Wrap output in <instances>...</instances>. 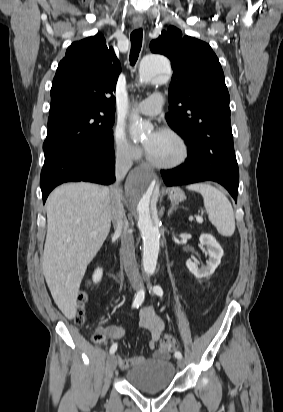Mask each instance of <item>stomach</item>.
<instances>
[{"mask_svg":"<svg viewBox=\"0 0 283 412\" xmlns=\"http://www.w3.org/2000/svg\"><path fill=\"white\" fill-rule=\"evenodd\" d=\"M169 198L173 203H178V202H181L185 199V194L179 188H172L169 191Z\"/></svg>","mask_w":283,"mask_h":412,"instance_id":"0dacf381","label":"stomach"}]
</instances>
